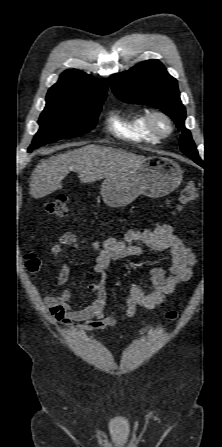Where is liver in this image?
<instances>
[{
	"label": "liver",
	"mask_w": 222,
	"mask_h": 447,
	"mask_svg": "<svg viewBox=\"0 0 222 447\" xmlns=\"http://www.w3.org/2000/svg\"><path fill=\"white\" fill-rule=\"evenodd\" d=\"M146 158L121 149L87 145L42 160L30 177V195L39 199L62 188V180L71 172L84 183L133 169Z\"/></svg>",
	"instance_id": "6515ba94"
}]
</instances>
